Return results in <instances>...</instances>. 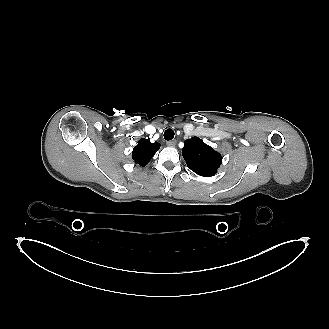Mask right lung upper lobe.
<instances>
[{"instance_id": "1", "label": "right lung upper lobe", "mask_w": 329, "mask_h": 329, "mask_svg": "<svg viewBox=\"0 0 329 329\" xmlns=\"http://www.w3.org/2000/svg\"><path fill=\"white\" fill-rule=\"evenodd\" d=\"M159 148V143H151L148 139L142 138L132 151L133 160L140 166H145Z\"/></svg>"}]
</instances>
